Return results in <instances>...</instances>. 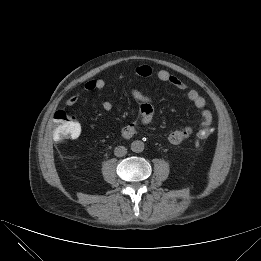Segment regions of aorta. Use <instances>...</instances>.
<instances>
[{
	"label": "aorta",
	"mask_w": 261,
	"mask_h": 261,
	"mask_svg": "<svg viewBox=\"0 0 261 261\" xmlns=\"http://www.w3.org/2000/svg\"><path fill=\"white\" fill-rule=\"evenodd\" d=\"M131 150L140 153L144 150V143L141 140H135L131 143Z\"/></svg>",
	"instance_id": "1"
}]
</instances>
